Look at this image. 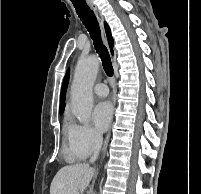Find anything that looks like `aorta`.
Wrapping results in <instances>:
<instances>
[{"label": "aorta", "instance_id": "1", "mask_svg": "<svg viewBox=\"0 0 201 194\" xmlns=\"http://www.w3.org/2000/svg\"><path fill=\"white\" fill-rule=\"evenodd\" d=\"M99 70L97 56L78 61L71 86V111L80 123H87L93 108L92 88Z\"/></svg>", "mask_w": 201, "mask_h": 194}]
</instances>
